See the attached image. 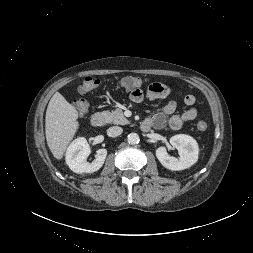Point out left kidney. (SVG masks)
I'll return each mask as SVG.
<instances>
[{"label": "left kidney", "mask_w": 253, "mask_h": 253, "mask_svg": "<svg viewBox=\"0 0 253 253\" xmlns=\"http://www.w3.org/2000/svg\"><path fill=\"white\" fill-rule=\"evenodd\" d=\"M170 144L179 151V159L170 156L165 147L156 149V157L165 168L179 171L197 162L199 147L193 137L185 134L174 135L170 138Z\"/></svg>", "instance_id": "1"}]
</instances>
